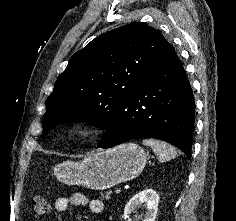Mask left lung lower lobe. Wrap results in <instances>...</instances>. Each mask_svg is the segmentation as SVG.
<instances>
[{"label": "left lung lower lobe", "mask_w": 236, "mask_h": 221, "mask_svg": "<svg viewBox=\"0 0 236 221\" xmlns=\"http://www.w3.org/2000/svg\"><path fill=\"white\" fill-rule=\"evenodd\" d=\"M194 112L190 83L173 46L166 42L118 110L101 147L156 138L175 145L189 157Z\"/></svg>", "instance_id": "left-lung-lower-lobe-1"}]
</instances>
